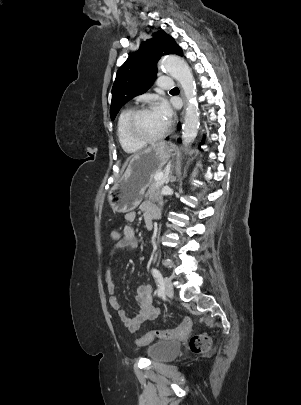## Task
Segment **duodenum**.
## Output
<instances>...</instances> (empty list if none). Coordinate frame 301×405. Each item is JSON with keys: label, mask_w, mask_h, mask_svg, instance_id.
I'll list each match as a JSON object with an SVG mask.
<instances>
[{"label": "duodenum", "mask_w": 301, "mask_h": 405, "mask_svg": "<svg viewBox=\"0 0 301 405\" xmlns=\"http://www.w3.org/2000/svg\"><path fill=\"white\" fill-rule=\"evenodd\" d=\"M146 226H147V229H148V230H151L152 227H153L152 221H147V222H146Z\"/></svg>", "instance_id": "410a0bca"}]
</instances>
